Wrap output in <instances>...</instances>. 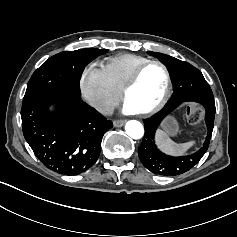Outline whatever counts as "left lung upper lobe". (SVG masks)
Returning a JSON list of instances; mask_svg holds the SVG:
<instances>
[{"mask_svg": "<svg viewBox=\"0 0 237 237\" xmlns=\"http://www.w3.org/2000/svg\"><path fill=\"white\" fill-rule=\"evenodd\" d=\"M166 65L171 74L174 93L165 109L171 110L182 102H201L214 100L209 84L202 73L191 64L178 60L166 54L148 52ZM163 116L144 120L145 134L138 148V155L143 165L157 175L176 176L190 170L202 158L209 147L211 135H207L203 147L194 154L181 157L168 156L162 153L154 144L155 131ZM198 161V162H199Z\"/></svg>", "mask_w": 237, "mask_h": 237, "instance_id": "5c2ea615", "label": "left lung upper lobe"}]
</instances>
